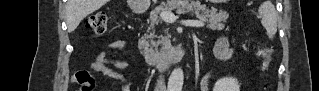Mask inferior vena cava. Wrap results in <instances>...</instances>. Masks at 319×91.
Here are the masks:
<instances>
[{"label": "inferior vena cava", "mask_w": 319, "mask_h": 91, "mask_svg": "<svg viewBox=\"0 0 319 91\" xmlns=\"http://www.w3.org/2000/svg\"><path fill=\"white\" fill-rule=\"evenodd\" d=\"M155 91H166L164 76L160 75L155 86Z\"/></svg>", "instance_id": "602c4592"}]
</instances>
